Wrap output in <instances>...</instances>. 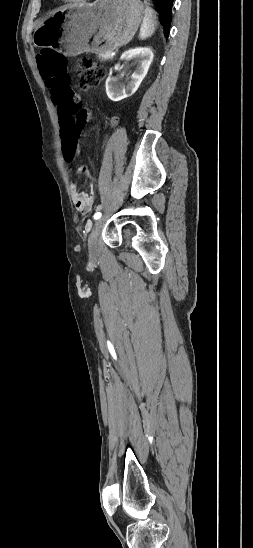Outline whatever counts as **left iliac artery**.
I'll return each mask as SVG.
<instances>
[{
	"label": "left iliac artery",
	"instance_id": "44dca946",
	"mask_svg": "<svg viewBox=\"0 0 253 548\" xmlns=\"http://www.w3.org/2000/svg\"><path fill=\"white\" fill-rule=\"evenodd\" d=\"M102 216L101 212H96L93 216L95 220L99 219Z\"/></svg>",
	"mask_w": 253,
	"mask_h": 548
}]
</instances>
